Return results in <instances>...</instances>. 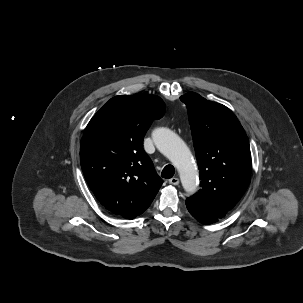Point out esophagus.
Returning a JSON list of instances; mask_svg holds the SVG:
<instances>
[{"instance_id":"1","label":"esophagus","mask_w":303,"mask_h":303,"mask_svg":"<svg viewBox=\"0 0 303 303\" xmlns=\"http://www.w3.org/2000/svg\"><path fill=\"white\" fill-rule=\"evenodd\" d=\"M169 183L176 186L179 184V179L177 177H173L169 179Z\"/></svg>"}]
</instances>
